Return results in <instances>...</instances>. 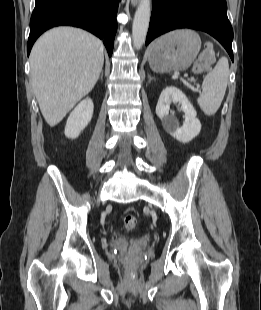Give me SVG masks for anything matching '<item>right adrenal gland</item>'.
<instances>
[{"mask_svg": "<svg viewBox=\"0 0 261 310\" xmlns=\"http://www.w3.org/2000/svg\"><path fill=\"white\" fill-rule=\"evenodd\" d=\"M100 79H103V71H101Z\"/></svg>", "mask_w": 261, "mask_h": 310, "instance_id": "right-adrenal-gland-1", "label": "right adrenal gland"}]
</instances>
